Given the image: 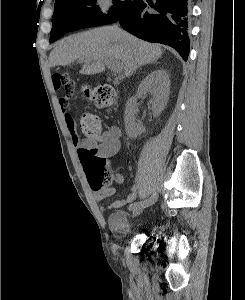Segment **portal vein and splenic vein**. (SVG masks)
Returning <instances> with one entry per match:
<instances>
[{
	"mask_svg": "<svg viewBox=\"0 0 245 300\" xmlns=\"http://www.w3.org/2000/svg\"><path fill=\"white\" fill-rule=\"evenodd\" d=\"M107 67L110 68L114 73H120L122 69L116 62L106 61Z\"/></svg>",
	"mask_w": 245,
	"mask_h": 300,
	"instance_id": "1",
	"label": "portal vein and splenic vein"
}]
</instances>
